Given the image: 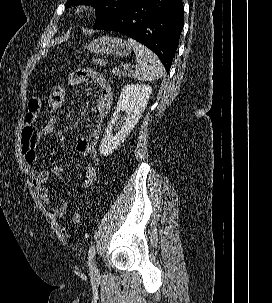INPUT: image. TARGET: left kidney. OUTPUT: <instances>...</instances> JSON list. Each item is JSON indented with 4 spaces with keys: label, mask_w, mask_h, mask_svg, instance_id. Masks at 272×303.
I'll list each match as a JSON object with an SVG mask.
<instances>
[{
    "label": "left kidney",
    "mask_w": 272,
    "mask_h": 303,
    "mask_svg": "<svg viewBox=\"0 0 272 303\" xmlns=\"http://www.w3.org/2000/svg\"><path fill=\"white\" fill-rule=\"evenodd\" d=\"M152 87L145 84H127L121 91L116 110L103 135L99 152L103 156H108L116 150L126 139L129 133L138 123L145 107L148 104ZM120 111L126 113L120 123L118 132L113 135L112 129L116 125Z\"/></svg>",
    "instance_id": "left-kidney-1"
}]
</instances>
